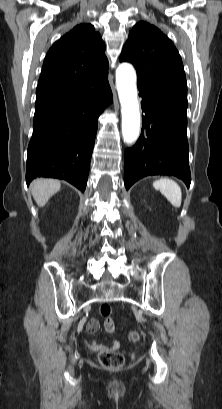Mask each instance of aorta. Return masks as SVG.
<instances>
[{
	"instance_id": "aorta-1",
	"label": "aorta",
	"mask_w": 222,
	"mask_h": 409,
	"mask_svg": "<svg viewBox=\"0 0 222 409\" xmlns=\"http://www.w3.org/2000/svg\"><path fill=\"white\" fill-rule=\"evenodd\" d=\"M116 86L121 104L123 140L127 144H133L140 134V112L136 74L131 65H119L116 70Z\"/></svg>"
}]
</instances>
